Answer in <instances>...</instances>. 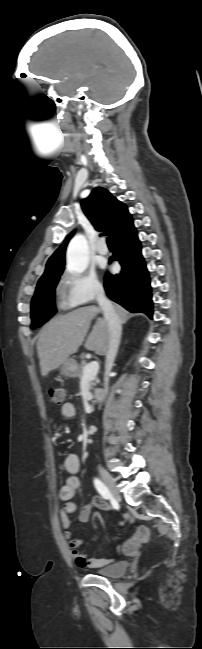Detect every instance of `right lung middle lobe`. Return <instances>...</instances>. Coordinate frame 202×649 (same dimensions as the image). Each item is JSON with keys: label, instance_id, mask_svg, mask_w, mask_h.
Wrapping results in <instances>:
<instances>
[{"label": "right lung middle lobe", "instance_id": "obj_1", "mask_svg": "<svg viewBox=\"0 0 202 649\" xmlns=\"http://www.w3.org/2000/svg\"><path fill=\"white\" fill-rule=\"evenodd\" d=\"M61 274L58 272L39 279L31 302V329L40 327L56 313L54 295Z\"/></svg>", "mask_w": 202, "mask_h": 649}]
</instances>
